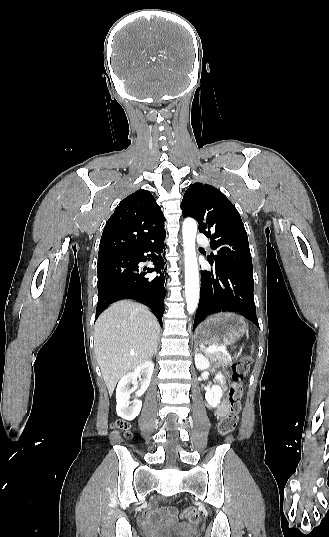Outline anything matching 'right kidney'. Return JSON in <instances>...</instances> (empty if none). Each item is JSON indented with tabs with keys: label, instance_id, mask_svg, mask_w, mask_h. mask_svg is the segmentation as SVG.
<instances>
[{
	"label": "right kidney",
	"instance_id": "obj_1",
	"mask_svg": "<svg viewBox=\"0 0 329 537\" xmlns=\"http://www.w3.org/2000/svg\"><path fill=\"white\" fill-rule=\"evenodd\" d=\"M153 370L154 363L152 361H146L121 378L116 389V411L118 416L125 420L131 421L139 415L142 407V401L139 400L138 397L142 396L149 386ZM138 377H142L141 387L135 392V399L130 402L129 398L132 390L129 389V386L130 384L135 385Z\"/></svg>",
	"mask_w": 329,
	"mask_h": 537
}]
</instances>
